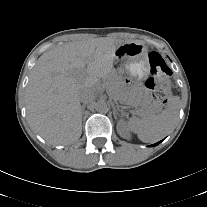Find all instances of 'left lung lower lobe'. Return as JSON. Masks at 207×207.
Returning a JSON list of instances; mask_svg holds the SVG:
<instances>
[{"instance_id":"1","label":"left lung lower lobe","mask_w":207,"mask_h":207,"mask_svg":"<svg viewBox=\"0 0 207 207\" xmlns=\"http://www.w3.org/2000/svg\"><path fill=\"white\" fill-rule=\"evenodd\" d=\"M160 142H162V141H160ZM160 142H158V143H155V144H153V145H151V146H156V145H158Z\"/></svg>"}]
</instances>
